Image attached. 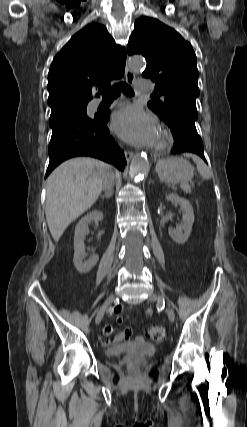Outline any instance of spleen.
<instances>
[{
  "label": "spleen",
  "mask_w": 247,
  "mask_h": 427,
  "mask_svg": "<svg viewBox=\"0 0 247 427\" xmlns=\"http://www.w3.org/2000/svg\"><path fill=\"white\" fill-rule=\"evenodd\" d=\"M187 157H191L193 161L196 163L198 172L203 176L205 179L211 178V170L207 167V165L196 155L193 154H185ZM161 162H159L156 166V169L160 166Z\"/></svg>",
  "instance_id": "1"
}]
</instances>
